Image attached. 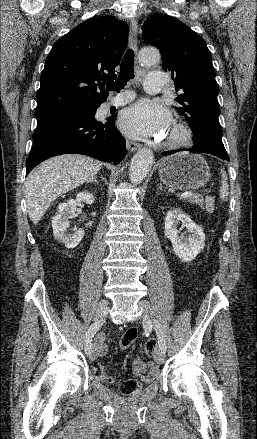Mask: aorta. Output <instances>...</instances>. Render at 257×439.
<instances>
[{"mask_svg": "<svg viewBox=\"0 0 257 439\" xmlns=\"http://www.w3.org/2000/svg\"><path fill=\"white\" fill-rule=\"evenodd\" d=\"M142 64L152 65L160 60V53L154 48L142 49L139 53ZM154 160L153 152L150 149L143 148L139 150L132 158L129 167V178L133 183L142 182L149 173Z\"/></svg>", "mask_w": 257, "mask_h": 439, "instance_id": "obj_1", "label": "aorta"}]
</instances>
